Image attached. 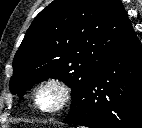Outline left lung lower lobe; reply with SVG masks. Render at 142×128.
<instances>
[{
    "label": "left lung lower lobe",
    "mask_w": 142,
    "mask_h": 128,
    "mask_svg": "<svg viewBox=\"0 0 142 128\" xmlns=\"http://www.w3.org/2000/svg\"><path fill=\"white\" fill-rule=\"evenodd\" d=\"M63 122L89 128H142V47L136 34L109 53Z\"/></svg>",
    "instance_id": "1"
}]
</instances>
